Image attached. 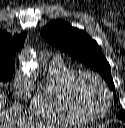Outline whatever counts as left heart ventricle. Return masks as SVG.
Here are the masks:
<instances>
[{
    "label": "left heart ventricle",
    "mask_w": 125,
    "mask_h": 128,
    "mask_svg": "<svg viewBox=\"0 0 125 128\" xmlns=\"http://www.w3.org/2000/svg\"><path fill=\"white\" fill-rule=\"evenodd\" d=\"M78 95L89 111L98 113L103 109L104 95L93 82L89 80L82 81L78 87Z\"/></svg>",
    "instance_id": "b2bd125f"
}]
</instances>
